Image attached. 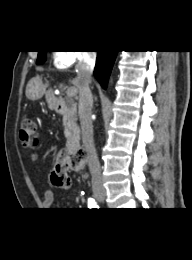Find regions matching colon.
Segmentation results:
<instances>
[{
    "mask_svg": "<svg viewBox=\"0 0 192 260\" xmlns=\"http://www.w3.org/2000/svg\"><path fill=\"white\" fill-rule=\"evenodd\" d=\"M19 138L25 148L35 149L38 147L41 132L31 118H23L21 121ZM86 153L80 151L76 154L61 152L54 161L51 172V183L59 189H68L71 186L70 173L81 172L84 168Z\"/></svg>",
    "mask_w": 192,
    "mask_h": 260,
    "instance_id": "5ec220e1",
    "label": "colon"
}]
</instances>
